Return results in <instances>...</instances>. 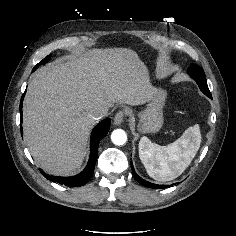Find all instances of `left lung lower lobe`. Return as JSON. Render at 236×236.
<instances>
[{
	"instance_id": "obj_1",
	"label": "left lung lower lobe",
	"mask_w": 236,
	"mask_h": 236,
	"mask_svg": "<svg viewBox=\"0 0 236 236\" xmlns=\"http://www.w3.org/2000/svg\"><path fill=\"white\" fill-rule=\"evenodd\" d=\"M209 98H212V96H210ZM131 167H132V172H133V175L135 177V179L140 183L142 184L143 186L145 187H148V188H167V187H170L169 185H157V184H154V183H150L148 181H145L144 179L140 178L137 173L134 171V168H133V165L131 163ZM173 185V184H172ZM171 185V186H172Z\"/></svg>"
}]
</instances>
